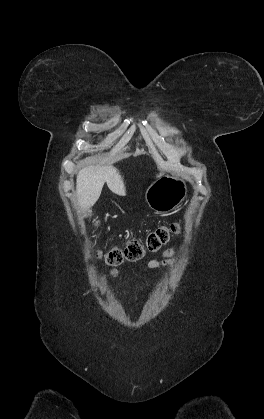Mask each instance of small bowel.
I'll return each instance as SVG.
<instances>
[{"instance_id":"1","label":"small bowel","mask_w":264,"mask_h":419,"mask_svg":"<svg viewBox=\"0 0 264 419\" xmlns=\"http://www.w3.org/2000/svg\"><path fill=\"white\" fill-rule=\"evenodd\" d=\"M173 255H174V250L169 249L164 253L162 259H160V260H158V259L150 260L148 262V266L150 268H158V267L165 266V265H171L173 263ZM111 275L114 278H119V271L117 269H113L111 271ZM103 282L105 283V278L104 277H103Z\"/></svg>"}]
</instances>
